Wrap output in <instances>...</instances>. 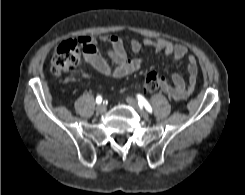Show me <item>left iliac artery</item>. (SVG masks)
Masks as SVG:
<instances>
[{
    "mask_svg": "<svg viewBox=\"0 0 245 195\" xmlns=\"http://www.w3.org/2000/svg\"><path fill=\"white\" fill-rule=\"evenodd\" d=\"M137 98L140 108L144 107L149 113H152V107L150 106L148 101L142 95H137Z\"/></svg>",
    "mask_w": 245,
    "mask_h": 195,
    "instance_id": "obj_1",
    "label": "left iliac artery"
}]
</instances>
